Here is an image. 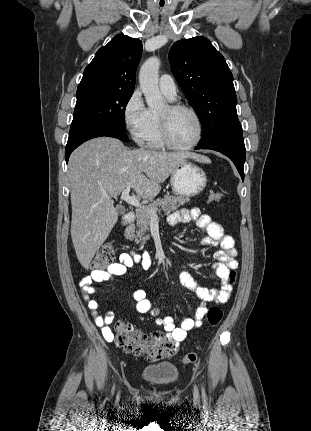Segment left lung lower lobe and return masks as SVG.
<instances>
[{
	"mask_svg": "<svg viewBox=\"0 0 311 431\" xmlns=\"http://www.w3.org/2000/svg\"><path fill=\"white\" fill-rule=\"evenodd\" d=\"M195 149H211L226 155L233 161L242 177V180H244V162L246 150L243 140L242 128L232 129L211 141L198 144Z\"/></svg>",
	"mask_w": 311,
	"mask_h": 431,
	"instance_id": "1",
	"label": "left lung lower lobe"
}]
</instances>
